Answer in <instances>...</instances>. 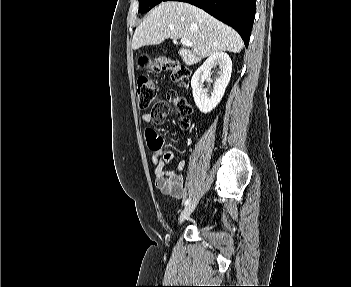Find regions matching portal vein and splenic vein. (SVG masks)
Segmentation results:
<instances>
[{
    "label": "portal vein and splenic vein",
    "mask_w": 351,
    "mask_h": 287,
    "mask_svg": "<svg viewBox=\"0 0 351 287\" xmlns=\"http://www.w3.org/2000/svg\"><path fill=\"white\" fill-rule=\"evenodd\" d=\"M180 42H181L182 45H186V46H192L193 45L189 40H187L185 38H181Z\"/></svg>",
    "instance_id": "1"
}]
</instances>
